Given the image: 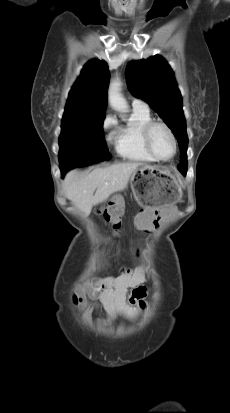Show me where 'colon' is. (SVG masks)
<instances>
[{"instance_id": "1", "label": "colon", "mask_w": 230, "mask_h": 413, "mask_svg": "<svg viewBox=\"0 0 230 413\" xmlns=\"http://www.w3.org/2000/svg\"><path fill=\"white\" fill-rule=\"evenodd\" d=\"M108 204L99 211V214L106 222L111 223L115 230H118L121 225L123 206L125 205L124 193L114 192L113 197L108 199Z\"/></svg>"}]
</instances>
